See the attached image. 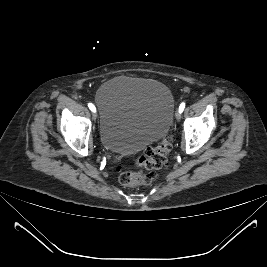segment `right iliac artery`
<instances>
[{
	"instance_id": "obj_1",
	"label": "right iliac artery",
	"mask_w": 267,
	"mask_h": 267,
	"mask_svg": "<svg viewBox=\"0 0 267 267\" xmlns=\"http://www.w3.org/2000/svg\"><path fill=\"white\" fill-rule=\"evenodd\" d=\"M88 107L90 108L91 111H93V112L96 111V108H95V106L92 103H89L88 104Z\"/></svg>"
}]
</instances>
